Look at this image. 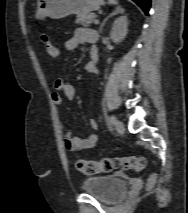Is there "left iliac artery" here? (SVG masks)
<instances>
[{"label": "left iliac artery", "mask_w": 188, "mask_h": 213, "mask_svg": "<svg viewBox=\"0 0 188 213\" xmlns=\"http://www.w3.org/2000/svg\"><path fill=\"white\" fill-rule=\"evenodd\" d=\"M115 122H116L115 116H113V115L109 116V123H110V125H114Z\"/></svg>", "instance_id": "left-iliac-artery-1"}]
</instances>
